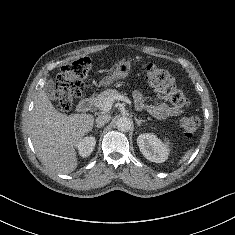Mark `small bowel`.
Returning <instances> with one entry per match:
<instances>
[{
    "label": "small bowel",
    "mask_w": 235,
    "mask_h": 235,
    "mask_svg": "<svg viewBox=\"0 0 235 235\" xmlns=\"http://www.w3.org/2000/svg\"><path fill=\"white\" fill-rule=\"evenodd\" d=\"M133 96L135 105L139 110H146L149 114L158 119L175 117L182 113V109L174 105L147 102L141 91H136Z\"/></svg>",
    "instance_id": "small-bowel-1"
}]
</instances>
